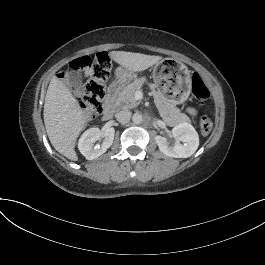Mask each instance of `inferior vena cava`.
Segmentation results:
<instances>
[{
  "instance_id": "obj_1",
  "label": "inferior vena cava",
  "mask_w": 265,
  "mask_h": 265,
  "mask_svg": "<svg viewBox=\"0 0 265 265\" xmlns=\"http://www.w3.org/2000/svg\"><path fill=\"white\" fill-rule=\"evenodd\" d=\"M115 117H116L118 122L125 124V123H128L130 121L131 112L128 110H123V111L116 113Z\"/></svg>"
}]
</instances>
